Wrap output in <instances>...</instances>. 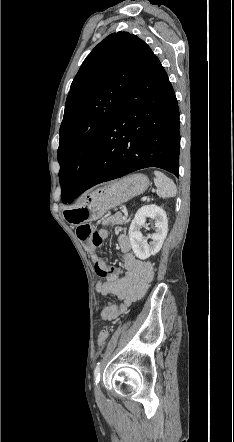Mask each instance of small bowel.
<instances>
[{
	"label": "small bowel",
	"instance_id": "small-bowel-1",
	"mask_svg": "<svg viewBox=\"0 0 234 442\" xmlns=\"http://www.w3.org/2000/svg\"><path fill=\"white\" fill-rule=\"evenodd\" d=\"M124 220L121 213H115L103 220L105 226H117ZM101 241L108 237V231L101 229L98 232ZM118 248L124 258L125 274L120 277L115 267L108 264L107 259L95 253H90L96 273L101 279L96 284V291L101 295H114L121 300L120 304L109 302L101 311L105 321H112L123 314L130 304L142 298L154 275L150 262L140 260L131 253L129 237L121 233L118 236Z\"/></svg>",
	"mask_w": 234,
	"mask_h": 442
}]
</instances>
